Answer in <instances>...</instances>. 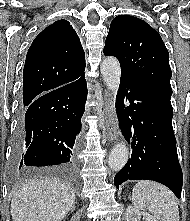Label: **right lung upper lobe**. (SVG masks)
<instances>
[{
  "mask_svg": "<svg viewBox=\"0 0 190 221\" xmlns=\"http://www.w3.org/2000/svg\"><path fill=\"white\" fill-rule=\"evenodd\" d=\"M85 71V53L80 39L66 20L46 27L28 50L23 71L26 106L38 96L72 83Z\"/></svg>",
  "mask_w": 190,
  "mask_h": 221,
  "instance_id": "obj_1",
  "label": "right lung upper lobe"
}]
</instances>
